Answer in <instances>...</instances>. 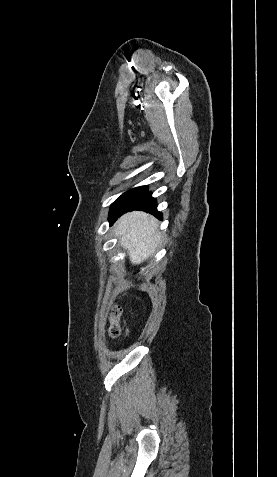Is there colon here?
Listing matches in <instances>:
<instances>
[{
  "instance_id": "colon-1",
  "label": "colon",
  "mask_w": 277,
  "mask_h": 477,
  "mask_svg": "<svg viewBox=\"0 0 277 477\" xmlns=\"http://www.w3.org/2000/svg\"><path fill=\"white\" fill-rule=\"evenodd\" d=\"M120 314L121 312L118 308L113 309L110 314V326L108 333L111 338H116L121 334V328L119 325Z\"/></svg>"
}]
</instances>
